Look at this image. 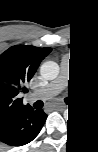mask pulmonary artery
Instances as JSON below:
<instances>
[{"label": "pulmonary artery", "mask_w": 98, "mask_h": 152, "mask_svg": "<svg viewBox=\"0 0 98 152\" xmlns=\"http://www.w3.org/2000/svg\"><path fill=\"white\" fill-rule=\"evenodd\" d=\"M70 65L66 58H64L61 62L60 73L59 76L46 85L45 87L36 90L34 93L28 95L30 99L41 97V98H51L57 95L60 91H62L70 80Z\"/></svg>", "instance_id": "1"}]
</instances>
